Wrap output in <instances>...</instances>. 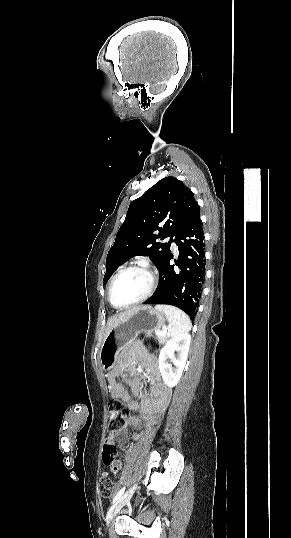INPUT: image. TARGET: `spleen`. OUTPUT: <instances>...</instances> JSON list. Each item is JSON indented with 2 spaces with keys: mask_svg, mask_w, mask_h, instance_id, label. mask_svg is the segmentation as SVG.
I'll return each instance as SVG.
<instances>
[{
  "mask_svg": "<svg viewBox=\"0 0 291 538\" xmlns=\"http://www.w3.org/2000/svg\"><path fill=\"white\" fill-rule=\"evenodd\" d=\"M155 309L165 314L169 322L168 335L170 337H177L191 330L192 324L190 318L181 309L162 304L156 305Z\"/></svg>",
  "mask_w": 291,
  "mask_h": 538,
  "instance_id": "obj_1",
  "label": "spleen"
}]
</instances>
